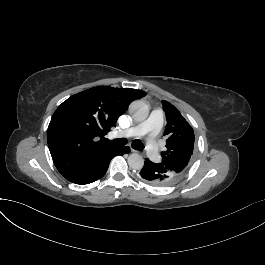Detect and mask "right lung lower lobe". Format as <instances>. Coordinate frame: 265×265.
Wrapping results in <instances>:
<instances>
[{
    "label": "right lung lower lobe",
    "instance_id": "obj_1",
    "mask_svg": "<svg viewBox=\"0 0 265 265\" xmlns=\"http://www.w3.org/2000/svg\"><path fill=\"white\" fill-rule=\"evenodd\" d=\"M129 151H130V149L127 146L120 147V148L116 149L112 153V155L107 159V161L101 166L99 171L93 177H91L89 180H87L86 182L81 183V184H89V183H92V182L98 180L99 178H101L106 173V171H107V169L109 167L110 161H111V159L114 156H116V155H124L126 153H129Z\"/></svg>",
    "mask_w": 265,
    "mask_h": 265
}]
</instances>
